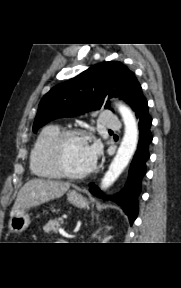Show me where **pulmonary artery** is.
Segmentation results:
<instances>
[{
  "label": "pulmonary artery",
  "mask_w": 181,
  "mask_h": 288,
  "mask_svg": "<svg viewBox=\"0 0 181 288\" xmlns=\"http://www.w3.org/2000/svg\"><path fill=\"white\" fill-rule=\"evenodd\" d=\"M101 122L103 127L108 129L120 128V121L118 118L110 112H103L101 114Z\"/></svg>",
  "instance_id": "pulmonary-artery-1"
}]
</instances>
